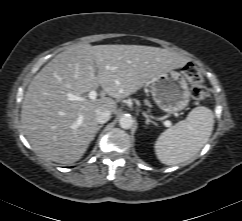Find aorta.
Listing matches in <instances>:
<instances>
[{
	"instance_id": "aorta-1",
	"label": "aorta",
	"mask_w": 242,
	"mask_h": 221,
	"mask_svg": "<svg viewBox=\"0 0 242 221\" xmlns=\"http://www.w3.org/2000/svg\"><path fill=\"white\" fill-rule=\"evenodd\" d=\"M133 122H134L133 118L128 114L123 115L119 119V125L123 129H130L133 126Z\"/></svg>"
}]
</instances>
